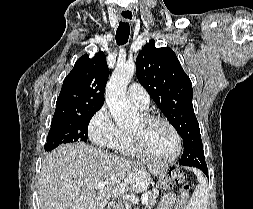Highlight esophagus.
I'll return each mask as SVG.
<instances>
[{
  "mask_svg": "<svg viewBox=\"0 0 253 209\" xmlns=\"http://www.w3.org/2000/svg\"><path fill=\"white\" fill-rule=\"evenodd\" d=\"M120 17L123 21H133L134 13L132 11H123L120 13Z\"/></svg>",
  "mask_w": 253,
  "mask_h": 209,
  "instance_id": "obj_1",
  "label": "esophagus"
}]
</instances>
